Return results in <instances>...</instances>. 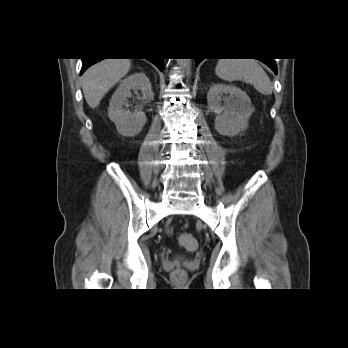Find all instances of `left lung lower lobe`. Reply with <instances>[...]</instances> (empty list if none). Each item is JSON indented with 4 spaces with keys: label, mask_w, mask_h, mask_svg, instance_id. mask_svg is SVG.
Here are the masks:
<instances>
[{
    "label": "left lung lower lobe",
    "mask_w": 348,
    "mask_h": 348,
    "mask_svg": "<svg viewBox=\"0 0 348 348\" xmlns=\"http://www.w3.org/2000/svg\"><path fill=\"white\" fill-rule=\"evenodd\" d=\"M202 59H195L196 65L201 61ZM261 60V59H260ZM265 64H267L274 72L277 74V67L273 59H266V60H261Z\"/></svg>",
    "instance_id": "0a47b994"
}]
</instances>
